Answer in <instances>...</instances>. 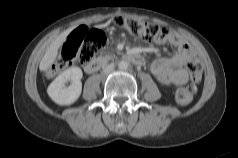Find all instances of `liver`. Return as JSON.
I'll return each mask as SVG.
<instances>
[{
	"instance_id": "obj_1",
	"label": "liver",
	"mask_w": 238,
	"mask_h": 158,
	"mask_svg": "<svg viewBox=\"0 0 238 158\" xmlns=\"http://www.w3.org/2000/svg\"><path fill=\"white\" fill-rule=\"evenodd\" d=\"M109 23L103 24L100 27H107ZM72 29H68L61 33L48 47L47 51L45 52V55L41 59L39 68L41 71L47 70L55 61L57 55H58V50L65 41V38L67 35L71 32Z\"/></svg>"
}]
</instances>
